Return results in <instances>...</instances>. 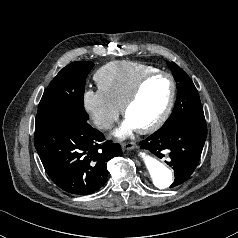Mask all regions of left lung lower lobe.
<instances>
[{"mask_svg": "<svg viewBox=\"0 0 238 238\" xmlns=\"http://www.w3.org/2000/svg\"><path fill=\"white\" fill-rule=\"evenodd\" d=\"M207 137L204 116L183 117L163 125L159 130L140 142L159 158L166 157V163L173 168L175 179L170 186L185 182L194 172L200 160Z\"/></svg>", "mask_w": 238, "mask_h": 238, "instance_id": "left-lung-lower-lobe-1", "label": "left lung lower lobe"}]
</instances>
